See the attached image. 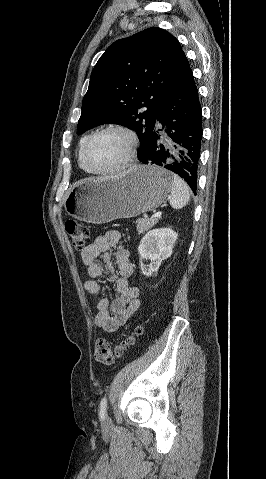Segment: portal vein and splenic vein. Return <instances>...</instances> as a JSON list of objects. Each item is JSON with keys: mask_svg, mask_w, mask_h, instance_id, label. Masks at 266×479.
Masks as SVG:
<instances>
[{"mask_svg": "<svg viewBox=\"0 0 266 479\" xmlns=\"http://www.w3.org/2000/svg\"><path fill=\"white\" fill-rule=\"evenodd\" d=\"M161 215H162V212L159 211V212L154 213V214L152 215V217H153V218H159V217H161Z\"/></svg>", "mask_w": 266, "mask_h": 479, "instance_id": "obj_1", "label": "portal vein and splenic vein"}]
</instances>
